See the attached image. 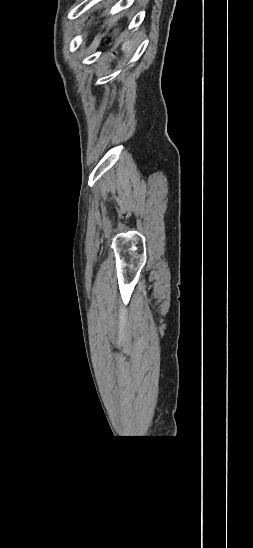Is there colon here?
<instances>
[{
  "label": "colon",
  "mask_w": 253,
  "mask_h": 548,
  "mask_svg": "<svg viewBox=\"0 0 253 548\" xmlns=\"http://www.w3.org/2000/svg\"><path fill=\"white\" fill-rule=\"evenodd\" d=\"M113 38H114L113 35H108V36H106V38H105V42H106V43H110V42L113 41Z\"/></svg>",
  "instance_id": "5ec220e1"
}]
</instances>
